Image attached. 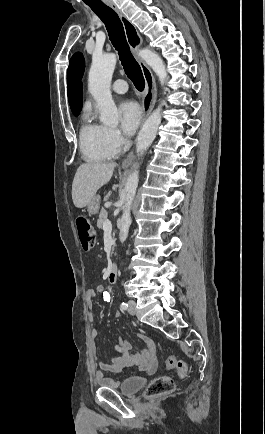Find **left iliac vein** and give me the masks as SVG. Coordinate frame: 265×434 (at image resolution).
<instances>
[{
    "label": "left iliac vein",
    "instance_id": "1",
    "mask_svg": "<svg viewBox=\"0 0 265 434\" xmlns=\"http://www.w3.org/2000/svg\"><path fill=\"white\" fill-rule=\"evenodd\" d=\"M128 303H129L128 312L131 315H135L136 314V302L134 300H130Z\"/></svg>",
    "mask_w": 265,
    "mask_h": 434
}]
</instances>
